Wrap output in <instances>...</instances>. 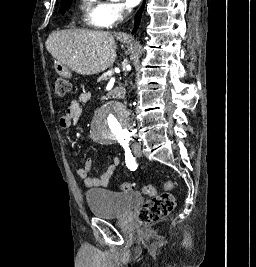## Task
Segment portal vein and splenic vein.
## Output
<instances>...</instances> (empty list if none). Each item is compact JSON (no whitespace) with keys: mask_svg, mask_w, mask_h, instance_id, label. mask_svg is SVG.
Wrapping results in <instances>:
<instances>
[{"mask_svg":"<svg viewBox=\"0 0 256 267\" xmlns=\"http://www.w3.org/2000/svg\"><path fill=\"white\" fill-rule=\"evenodd\" d=\"M111 71H114V68H111ZM114 72H110V70H107L106 76H113Z\"/></svg>","mask_w":256,"mask_h":267,"instance_id":"18ae733b","label":"portal vein and splenic vein"}]
</instances>
